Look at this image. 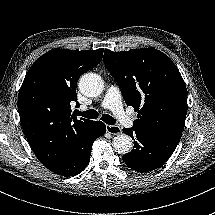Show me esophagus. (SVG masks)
Wrapping results in <instances>:
<instances>
[{
  "label": "esophagus",
  "instance_id": "esophagus-1",
  "mask_svg": "<svg viewBox=\"0 0 215 215\" xmlns=\"http://www.w3.org/2000/svg\"><path fill=\"white\" fill-rule=\"evenodd\" d=\"M106 131L112 135H119L122 133V129L117 125H106Z\"/></svg>",
  "mask_w": 215,
  "mask_h": 215
}]
</instances>
